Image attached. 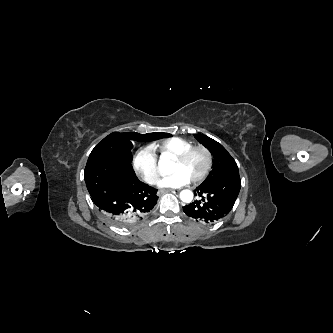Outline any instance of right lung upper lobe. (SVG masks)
<instances>
[{
  "instance_id": "1",
  "label": "right lung upper lobe",
  "mask_w": 333,
  "mask_h": 333,
  "mask_svg": "<svg viewBox=\"0 0 333 333\" xmlns=\"http://www.w3.org/2000/svg\"><path fill=\"white\" fill-rule=\"evenodd\" d=\"M150 134H152V135H156V134H160V133H150Z\"/></svg>"
}]
</instances>
